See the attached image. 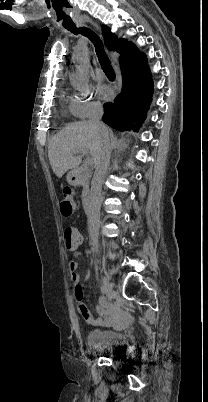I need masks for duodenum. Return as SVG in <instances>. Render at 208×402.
Instances as JSON below:
<instances>
[{
  "instance_id": "duodenum-1",
  "label": "duodenum",
  "mask_w": 208,
  "mask_h": 402,
  "mask_svg": "<svg viewBox=\"0 0 208 402\" xmlns=\"http://www.w3.org/2000/svg\"><path fill=\"white\" fill-rule=\"evenodd\" d=\"M76 176H77V178L79 179V180H81L82 179V177H83V175H82V173H80V172H78L77 174H76ZM83 208H84V210L85 211H90V208H91V198H90V195H89V193H85L84 194V196H83Z\"/></svg>"
}]
</instances>
